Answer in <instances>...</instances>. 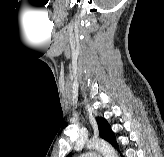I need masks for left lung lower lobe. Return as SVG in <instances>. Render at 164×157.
<instances>
[{
	"label": "left lung lower lobe",
	"mask_w": 164,
	"mask_h": 157,
	"mask_svg": "<svg viewBox=\"0 0 164 157\" xmlns=\"http://www.w3.org/2000/svg\"><path fill=\"white\" fill-rule=\"evenodd\" d=\"M113 146L118 149V144L117 143H115ZM121 157H123V156L121 155Z\"/></svg>",
	"instance_id": "left-lung-lower-lobe-1"
}]
</instances>
